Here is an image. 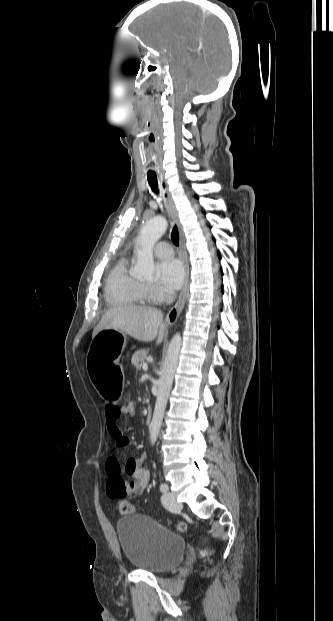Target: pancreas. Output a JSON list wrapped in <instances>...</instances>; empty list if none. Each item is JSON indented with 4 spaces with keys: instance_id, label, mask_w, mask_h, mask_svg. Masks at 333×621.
<instances>
[{
    "instance_id": "cf45deb5",
    "label": "pancreas",
    "mask_w": 333,
    "mask_h": 621,
    "mask_svg": "<svg viewBox=\"0 0 333 621\" xmlns=\"http://www.w3.org/2000/svg\"><path fill=\"white\" fill-rule=\"evenodd\" d=\"M147 357V351L144 349L141 350H137L136 352H134V354L132 355V364L135 366L136 369H141L142 365L145 363V359Z\"/></svg>"
}]
</instances>
